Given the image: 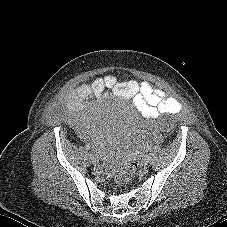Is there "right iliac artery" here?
Wrapping results in <instances>:
<instances>
[{
  "label": "right iliac artery",
  "instance_id": "1",
  "mask_svg": "<svg viewBox=\"0 0 227 227\" xmlns=\"http://www.w3.org/2000/svg\"><path fill=\"white\" fill-rule=\"evenodd\" d=\"M85 148H86V150H89L90 146L89 145H85Z\"/></svg>",
  "mask_w": 227,
  "mask_h": 227
}]
</instances>
